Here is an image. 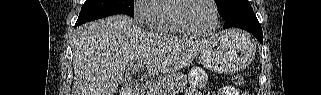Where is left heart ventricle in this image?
<instances>
[{
    "label": "left heart ventricle",
    "mask_w": 321,
    "mask_h": 95,
    "mask_svg": "<svg viewBox=\"0 0 321 95\" xmlns=\"http://www.w3.org/2000/svg\"><path fill=\"white\" fill-rule=\"evenodd\" d=\"M184 20L194 29L208 31L214 22L213 7L208 0H194L184 9Z\"/></svg>",
    "instance_id": "obj_1"
}]
</instances>
